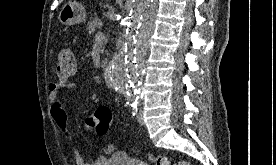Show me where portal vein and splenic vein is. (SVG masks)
Segmentation results:
<instances>
[{"mask_svg":"<svg viewBox=\"0 0 276 165\" xmlns=\"http://www.w3.org/2000/svg\"><path fill=\"white\" fill-rule=\"evenodd\" d=\"M105 36L102 32H98L97 35H96V39L97 40H100V39H103Z\"/></svg>","mask_w":276,"mask_h":165,"instance_id":"18ae733b","label":"portal vein and splenic vein"}]
</instances>
